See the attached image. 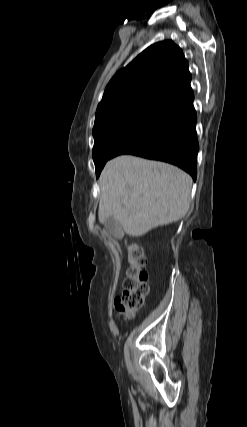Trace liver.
Returning a JSON list of instances; mask_svg holds the SVG:
<instances>
[{
  "mask_svg": "<svg viewBox=\"0 0 247 427\" xmlns=\"http://www.w3.org/2000/svg\"><path fill=\"white\" fill-rule=\"evenodd\" d=\"M99 185V220L113 216L129 236L177 222L189 210L191 177L164 162L116 157L106 163Z\"/></svg>",
  "mask_w": 247,
  "mask_h": 427,
  "instance_id": "liver-1",
  "label": "liver"
}]
</instances>
